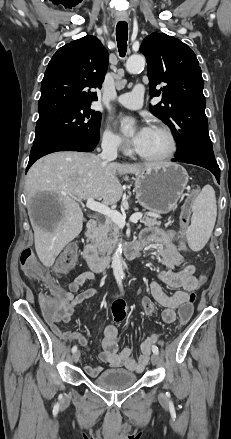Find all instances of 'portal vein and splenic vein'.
<instances>
[{"label": "portal vein and splenic vein", "instance_id": "18ae733b", "mask_svg": "<svg viewBox=\"0 0 231 439\" xmlns=\"http://www.w3.org/2000/svg\"><path fill=\"white\" fill-rule=\"evenodd\" d=\"M86 207L94 212L109 217L115 224H117L120 227H123L126 224V217L124 215L120 214L116 210L110 209L105 204L95 201L94 198L92 197H89L87 199ZM142 216H143L142 213L133 214L129 218V221L133 223H137L138 220L142 218Z\"/></svg>", "mask_w": 231, "mask_h": 439}]
</instances>
